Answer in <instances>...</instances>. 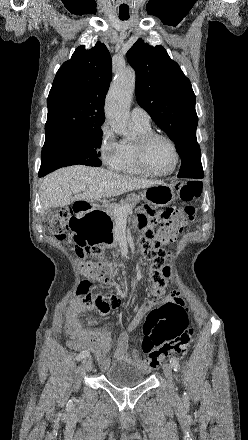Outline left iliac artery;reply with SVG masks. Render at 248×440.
Returning <instances> with one entry per match:
<instances>
[{
  "label": "left iliac artery",
  "instance_id": "44dca946",
  "mask_svg": "<svg viewBox=\"0 0 248 440\" xmlns=\"http://www.w3.org/2000/svg\"><path fill=\"white\" fill-rule=\"evenodd\" d=\"M170 363H171V365H172V367H173V369H174V371H179V369H180V364H179V360L176 358V357H172L171 359H170ZM186 394V393H185Z\"/></svg>",
  "mask_w": 248,
  "mask_h": 440
}]
</instances>
